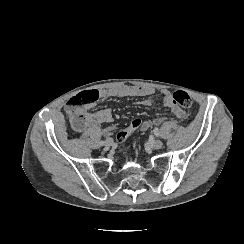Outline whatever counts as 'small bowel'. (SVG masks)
Returning <instances> with one entry per match:
<instances>
[{"label":"small bowel","mask_w":244,"mask_h":244,"mask_svg":"<svg viewBox=\"0 0 244 244\" xmlns=\"http://www.w3.org/2000/svg\"><path fill=\"white\" fill-rule=\"evenodd\" d=\"M98 92V91H97ZM155 89L150 87H139V86H114L105 89H101L99 93V98L101 100H107L114 97H145L139 101L141 105L150 106L153 100L150 98L151 95L155 93ZM162 95V103L165 108H167L170 113L177 119H185L187 117V112L176 105L173 100L169 90L163 89L160 91ZM91 106L82 108L86 114L87 128L95 129L101 123H111L113 120L112 112L108 109L99 112L89 111ZM133 121V120H132ZM164 122V118L158 116L151 120H145L144 124L138 126L137 130H148L153 126L160 125ZM85 129V130H86ZM115 130L114 126H110L106 129L107 132H112ZM77 132H82L84 130H76Z\"/></svg>","instance_id":"c3829d8e"}]
</instances>
